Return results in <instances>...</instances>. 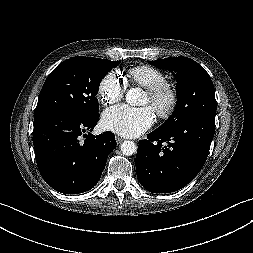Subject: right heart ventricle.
Here are the masks:
<instances>
[{
  "instance_id": "obj_1",
  "label": "right heart ventricle",
  "mask_w": 253,
  "mask_h": 253,
  "mask_svg": "<svg viewBox=\"0 0 253 253\" xmlns=\"http://www.w3.org/2000/svg\"><path fill=\"white\" fill-rule=\"evenodd\" d=\"M164 79V75L159 69L151 65L142 64L130 68L128 70L126 80L148 88L163 81Z\"/></svg>"
}]
</instances>
